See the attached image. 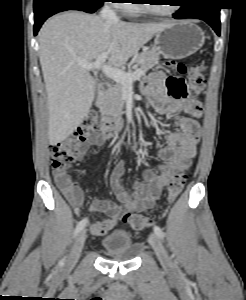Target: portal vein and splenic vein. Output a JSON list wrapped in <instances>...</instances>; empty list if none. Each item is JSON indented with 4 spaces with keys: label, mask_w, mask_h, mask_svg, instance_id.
Instances as JSON below:
<instances>
[{
    "label": "portal vein and splenic vein",
    "mask_w": 246,
    "mask_h": 300,
    "mask_svg": "<svg viewBox=\"0 0 246 300\" xmlns=\"http://www.w3.org/2000/svg\"><path fill=\"white\" fill-rule=\"evenodd\" d=\"M107 58L108 52H105L101 54L94 62L78 61V65L87 71L101 69L107 77L123 84L124 86L132 85L135 80H138L142 76V71L140 69L132 73H128L110 65H106L105 61Z\"/></svg>",
    "instance_id": "portal-vein-and-splenic-vein-1"
}]
</instances>
